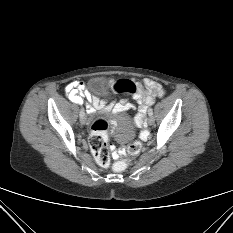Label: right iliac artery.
I'll return each mask as SVG.
<instances>
[{
  "label": "right iliac artery",
  "mask_w": 233,
  "mask_h": 233,
  "mask_svg": "<svg viewBox=\"0 0 233 233\" xmlns=\"http://www.w3.org/2000/svg\"><path fill=\"white\" fill-rule=\"evenodd\" d=\"M84 114H85V113H84V109L82 108V109L80 110V117H82Z\"/></svg>",
  "instance_id": "obj_1"
}]
</instances>
